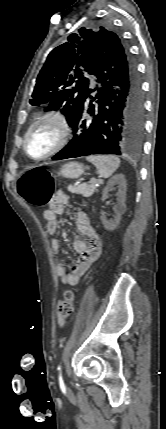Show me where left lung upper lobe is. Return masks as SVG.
<instances>
[{"mask_svg": "<svg viewBox=\"0 0 166 429\" xmlns=\"http://www.w3.org/2000/svg\"><path fill=\"white\" fill-rule=\"evenodd\" d=\"M117 34L100 27L98 30L82 27L71 34L68 41L53 49L41 69L30 99L33 106L61 112L71 127L89 86L86 73L91 74L95 52L100 43L110 41Z\"/></svg>", "mask_w": 166, "mask_h": 429, "instance_id": "left-lung-upper-lobe-1", "label": "left lung upper lobe"}]
</instances>
